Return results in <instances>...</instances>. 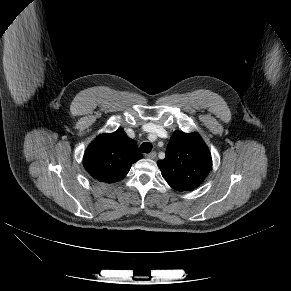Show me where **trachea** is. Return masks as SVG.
Listing matches in <instances>:
<instances>
[{"mask_svg": "<svg viewBox=\"0 0 291 291\" xmlns=\"http://www.w3.org/2000/svg\"><path fill=\"white\" fill-rule=\"evenodd\" d=\"M151 150H152V144L149 143V142H144V143H142L141 146H140V151H141L142 153H150Z\"/></svg>", "mask_w": 291, "mask_h": 291, "instance_id": "1", "label": "trachea"}]
</instances>
